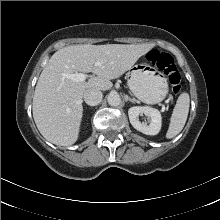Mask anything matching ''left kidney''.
I'll return each instance as SVG.
<instances>
[{"label": "left kidney", "mask_w": 220, "mask_h": 220, "mask_svg": "<svg viewBox=\"0 0 220 220\" xmlns=\"http://www.w3.org/2000/svg\"><path fill=\"white\" fill-rule=\"evenodd\" d=\"M144 114L150 118V123L144 124L139 121V115ZM131 125L138 131L146 135H156L159 133L162 124L160 112L149 106H134L128 110Z\"/></svg>", "instance_id": "obj_1"}]
</instances>
